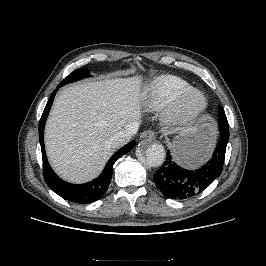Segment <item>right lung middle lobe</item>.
<instances>
[{"label": "right lung middle lobe", "mask_w": 266, "mask_h": 266, "mask_svg": "<svg viewBox=\"0 0 266 266\" xmlns=\"http://www.w3.org/2000/svg\"><path fill=\"white\" fill-rule=\"evenodd\" d=\"M89 71L87 70H75L70 75L66 77L59 85L63 86L65 84L80 80L84 77H89Z\"/></svg>", "instance_id": "right-lung-middle-lobe-1"}]
</instances>
